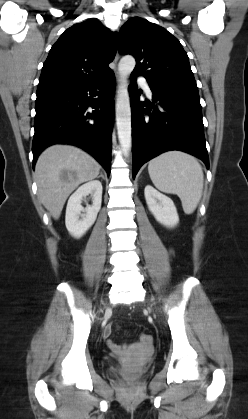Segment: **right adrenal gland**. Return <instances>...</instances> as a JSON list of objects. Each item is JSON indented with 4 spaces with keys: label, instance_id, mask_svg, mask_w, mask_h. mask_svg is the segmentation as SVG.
<instances>
[{
    "label": "right adrenal gland",
    "instance_id": "1",
    "mask_svg": "<svg viewBox=\"0 0 248 419\" xmlns=\"http://www.w3.org/2000/svg\"><path fill=\"white\" fill-rule=\"evenodd\" d=\"M99 177H102V178H104V176L102 175V173H101V174H100V175L98 176V178H99Z\"/></svg>",
    "mask_w": 248,
    "mask_h": 419
}]
</instances>
